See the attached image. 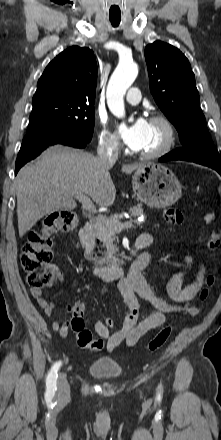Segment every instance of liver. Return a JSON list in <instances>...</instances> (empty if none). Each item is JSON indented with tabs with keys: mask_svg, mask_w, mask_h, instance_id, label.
Instances as JSON below:
<instances>
[{
	"mask_svg": "<svg viewBox=\"0 0 221 440\" xmlns=\"http://www.w3.org/2000/svg\"><path fill=\"white\" fill-rule=\"evenodd\" d=\"M143 164L123 165L131 173ZM112 167L91 153L54 145L36 161L22 167L15 190L19 236L23 237L42 217L60 210L75 209L77 193L89 195L99 206L109 207L116 196L109 169Z\"/></svg>",
	"mask_w": 221,
	"mask_h": 440,
	"instance_id": "obj_1",
	"label": "liver"
}]
</instances>
